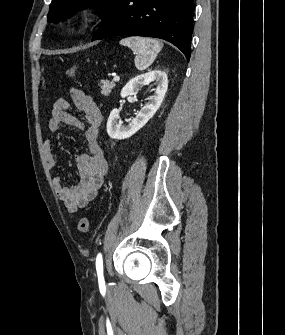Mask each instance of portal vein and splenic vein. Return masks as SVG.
Masks as SVG:
<instances>
[{
    "mask_svg": "<svg viewBox=\"0 0 285 335\" xmlns=\"http://www.w3.org/2000/svg\"><path fill=\"white\" fill-rule=\"evenodd\" d=\"M113 80H114V82H119L120 78H119V76H114Z\"/></svg>",
    "mask_w": 285,
    "mask_h": 335,
    "instance_id": "18ae733b",
    "label": "portal vein and splenic vein"
}]
</instances>
